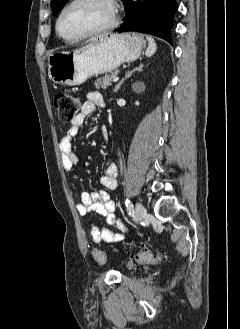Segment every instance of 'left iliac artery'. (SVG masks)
<instances>
[{
  "mask_svg": "<svg viewBox=\"0 0 240 329\" xmlns=\"http://www.w3.org/2000/svg\"><path fill=\"white\" fill-rule=\"evenodd\" d=\"M125 204H126V207H127L128 214L133 215L134 208H133V205H132L131 201L129 199H126Z\"/></svg>",
  "mask_w": 240,
  "mask_h": 329,
  "instance_id": "left-iliac-artery-1",
  "label": "left iliac artery"
}]
</instances>
